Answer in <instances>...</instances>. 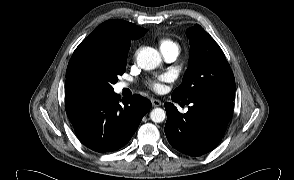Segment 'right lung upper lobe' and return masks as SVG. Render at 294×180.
Returning a JSON list of instances; mask_svg holds the SVG:
<instances>
[{"label":"right lung upper lobe","instance_id":"1","mask_svg":"<svg viewBox=\"0 0 294 180\" xmlns=\"http://www.w3.org/2000/svg\"><path fill=\"white\" fill-rule=\"evenodd\" d=\"M146 32L145 28L127 21L119 19L108 20L85 38L76 50L99 45H111L128 52L131 40L142 37Z\"/></svg>","mask_w":294,"mask_h":180}]
</instances>
